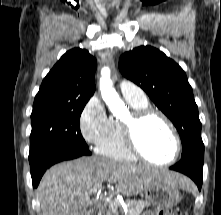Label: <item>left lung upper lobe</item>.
<instances>
[{"label":"left lung upper lobe","mask_w":221,"mask_h":215,"mask_svg":"<svg viewBox=\"0 0 221 215\" xmlns=\"http://www.w3.org/2000/svg\"><path fill=\"white\" fill-rule=\"evenodd\" d=\"M119 69L173 122L182 141L181 157L192 153L204 155L198 107L183 69L151 46L124 53L119 59Z\"/></svg>","instance_id":"1"}]
</instances>
